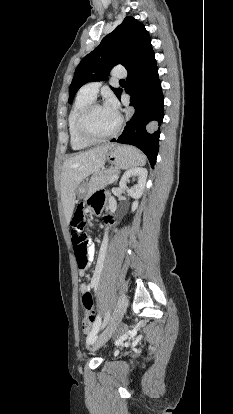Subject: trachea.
<instances>
[{
    "label": "trachea",
    "mask_w": 233,
    "mask_h": 414,
    "mask_svg": "<svg viewBox=\"0 0 233 414\" xmlns=\"http://www.w3.org/2000/svg\"><path fill=\"white\" fill-rule=\"evenodd\" d=\"M120 83H125V80H124V79H121V80H120Z\"/></svg>",
    "instance_id": "trachea-1"
}]
</instances>
